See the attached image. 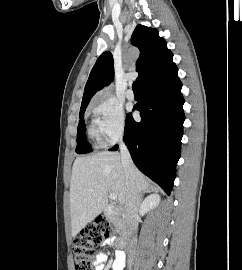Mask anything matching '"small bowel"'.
Returning <instances> with one entry per match:
<instances>
[{
    "label": "small bowel",
    "mask_w": 242,
    "mask_h": 270,
    "mask_svg": "<svg viewBox=\"0 0 242 270\" xmlns=\"http://www.w3.org/2000/svg\"><path fill=\"white\" fill-rule=\"evenodd\" d=\"M113 244H114L113 239H108L105 242V245H113ZM105 261H106V256L99 255L95 260L96 270H104ZM124 265H125L124 254L121 251H117L115 261L112 265V270H122L124 268Z\"/></svg>",
    "instance_id": "1"
}]
</instances>
